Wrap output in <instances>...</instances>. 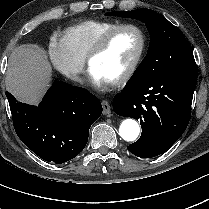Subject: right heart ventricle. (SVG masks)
<instances>
[{
    "mask_svg": "<svg viewBox=\"0 0 209 209\" xmlns=\"http://www.w3.org/2000/svg\"><path fill=\"white\" fill-rule=\"evenodd\" d=\"M119 25L110 20L88 19L68 26L63 30V37L72 52L85 59L96 41L109 29Z\"/></svg>",
    "mask_w": 209,
    "mask_h": 209,
    "instance_id": "1",
    "label": "right heart ventricle"
}]
</instances>
